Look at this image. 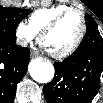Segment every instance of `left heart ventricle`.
Instances as JSON below:
<instances>
[{"label":"left heart ventricle","mask_w":103,"mask_h":103,"mask_svg":"<svg viewBox=\"0 0 103 103\" xmlns=\"http://www.w3.org/2000/svg\"><path fill=\"white\" fill-rule=\"evenodd\" d=\"M81 25L80 15L78 13H71L46 35L43 42L50 51H62L75 41L80 33Z\"/></svg>","instance_id":"obj_1"}]
</instances>
